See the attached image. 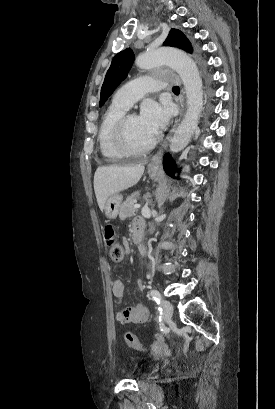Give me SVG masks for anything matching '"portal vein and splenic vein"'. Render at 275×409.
Masks as SVG:
<instances>
[{"instance_id":"1","label":"portal vein and splenic vein","mask_w":275,"mask_h":409,"mask_svg":"<svg viewBox=\"0 0 275 409\" xmlns=\"http://www.w3.org/2000/svg\"><path fill=\"white\" fill-rule=\"evenodd\" d=\"M134 209H140L141 205H133Z\"/></svg>"}]
</instances>
